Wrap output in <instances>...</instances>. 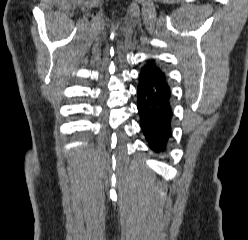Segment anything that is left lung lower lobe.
<instances>
[{
  "label": "left lung lower lobe",
  "mask_w": 248,
  "mask_h": 240,
  "mask_svg": "<svg viewBox=\"0 0 248 240\" xmlns=\"http://www.w3.org/2000/svg\"><path fill=\"white\" fill-rule=\"evenodd\" d=\"M137 108L149 148L156 153L165 151L172 136L171 89L166 74L154 60H147L139 74Z\"/></svg>",
  "instance_id": "left-lung-lower-lobe-1"
}]
</instances>
